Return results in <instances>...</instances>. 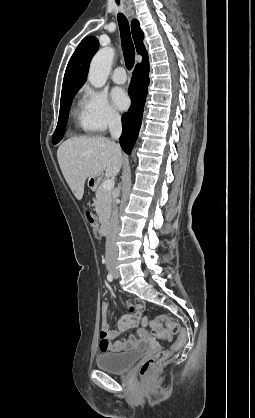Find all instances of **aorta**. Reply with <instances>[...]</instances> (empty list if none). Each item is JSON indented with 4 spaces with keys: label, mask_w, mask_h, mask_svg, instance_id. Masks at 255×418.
Returning <instances> with one entry per match:
<instances>
[{
    "label": "aorta",
    "mask_w": 255,
    "mask_h": 418,
    "mask_svg": "<svg viewBox=\"0 0 255 418\" xmlns=\"http://www.w3.org/2000/svg\"><path fill=\"white\" fill-rule=\"evenodd\" d=\"M113 57V48L105 47L99 50L92 58L89 67L88 81L95 88H101L105 85Z\"/></svg>",
    "instance_id": "762f6f07"
}]
</instances>
